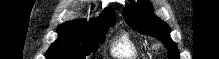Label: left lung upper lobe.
<instances>
[{"mask_svg": "<svg viewBox=\"0 0 219 59\" xmlns=\"http://www.w3.org/2000/svg\"><path fill=\"white\" fill-rule=\"evenodd\" d=\"M127 24L136 31L157 37L170 49L169 59H179L176 44L170 38V28L158 17L151 14V3L148 0H138L128 9L123 10Z\"/></svg>", "mask_w": 219, "mask_h": 59, "instance_id": "5c2ea615", "label": "left lung upper lobe"}]
</instances>
